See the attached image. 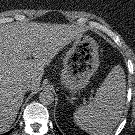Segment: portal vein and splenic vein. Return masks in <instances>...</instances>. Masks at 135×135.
<instances>
[{"instance_id":"obj_1","label":"portal vein and splenic vein","mask_w":135,"mask_h":135,"mask_svg":"<svg viewBox=\"0 0 135 135\" xmlns=\"http://www.w3.org/2000/svg\"><path fill=\"white\" fill-rule=\"evenodd\" d=\"M30 61H26V63L28 64Z\"/></svg>"}]
</instances>
